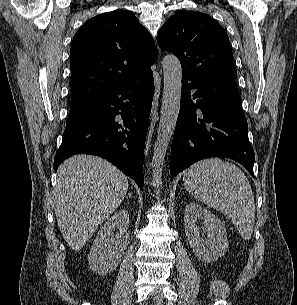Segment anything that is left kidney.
<instances>
[{
	"label": "left kidney",
	"instance_id": "5707ae66",
	"mask_svg": "<svg viewBox=\"0 0 297 305\" xmlns=\"http://www.w3.org/2000/svg\"><path fill=\"white\" fill-rule=\"evenodd\" d=\"M203 221L206 238L200 235L197 223ZM185 233L195 256L203 262L215 261L222 257L227 248V232L221 220L211 211L197 203H190L184 214Z\"/></svg>",
	"mask_w": 297,
	"mask_h": 305
}]
</instances>
